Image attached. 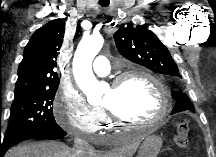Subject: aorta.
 Instances as JSON below:
<instances>
[{
  "mask_svg": "<svg viewBox=\"0 0 216 157\" xmlns=\"http://www.w3.org/2000/svg\"><path fill=\"white\" fill-rule=\"evenodd\" d=\"M104 40L100 35L83 38L74 54L73 74L76 83L91 104L101 102L102 85L92 71V61L103 46Z\"/></svg>",
  "mask_w": 216,
  "mask_h": 157,
  "instance_id": "obj_1",
  "label": "aorta"
}]
</instances>
